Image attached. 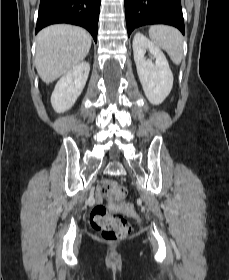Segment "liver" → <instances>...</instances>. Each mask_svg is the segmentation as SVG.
I'll return each mask as SVG.
<instances>
[{
	"label": "liver",
	"instance_id": "obj_1",
	"mask_svg": "<svg viewBox=\"0 0 229 280\" xmlns=\"http://www.w3.org/2000/svg\"><path fill=\"white\" fill-rule=\"evenodd\" d=\"M36 42L38 75L45 83H51L85 59L91 36L80 27L58 24L41 30Z\"/></svg>",
	"mask_w": 229,
	"mask_h": 280
}]
</instances>
